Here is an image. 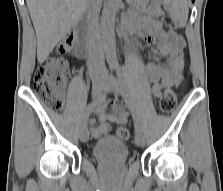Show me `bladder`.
Wrapping results in <instances>:
<instances>
[{"mask_svg": "<svg viewBox=\"0 0 223 191\" xmlns=\"http://www.w3.org/2000/svg\"><path fill=\"white\" fill-rule=\"evenodd\" d=\"M92 153L97 160L110 163L125 161L129 155L125 142L113 135L99 139L94 144Z\"/></svg>", "mask_w": 223, "mask_h": 191, "instance_id": "obj_1", "label": "bladder"}]
</instances>
